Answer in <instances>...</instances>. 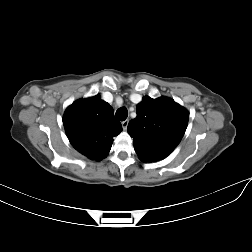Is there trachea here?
Returning a JSON list of instances; mask_svg holds the SVG:
<instances>
[{
  "label": "trachea",
  "instance_id": "trachea-1",
  "mask_svg": "<svg viewBox=\"0 0 252 252\" xmlns=\"http://www.w3.org/2000/svg\"><path fill=\"white\" fill-rule=\"evenodd\" d=\"M116 117L118 120L120 121H124L126 120V118L128 117V111L125 107H121L116 111Z\"/></svg>",
  "mask_w": 252,
  "mask_h": 252
}]
</instances>
